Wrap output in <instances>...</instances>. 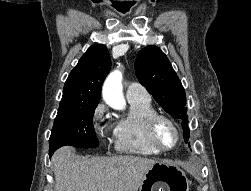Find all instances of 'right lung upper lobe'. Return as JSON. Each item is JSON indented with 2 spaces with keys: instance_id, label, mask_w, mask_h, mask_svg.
Listing matches in <instances>:
<instances>
[{
  "instance_id": "obj_1",
  "label": "right lung upper lobe",
  "mask_w": 251,
  "mask_h": 191,
  "mask_svg": "<svg viewBox=\"0 0 251 191\" xmlns=\"http://www.w3.org/2000/svg\"><path fill=\"white\" fill-rule=\"evenodd\" d=\"M111 68L107 48L92 45L69 74L59 108L98 104L101 87Z\"/></svg>"
}]
</instances>
